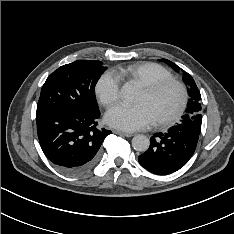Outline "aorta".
I'll use <instances>...</instances> for the list:
<instances>
[{
    "mask_svg": "<svg viewBox=\"0 0 234 234\" xmlns=\"http://www.w3.org/2000/svg\"><path fill=\"white\" fill-rule=\"evenodd\" d=\"M121 95L125 100L132 101L136 96V89L132 84L126 83L121 89ZM149 146L150 141L143 134L136 135L132 139V147L136 151L145 152Z\"/></svg>",
    "mask_w": 234,
    "mask_h": 234,
    "instance_id": "762f6f07",
    "label": "aorta"
}]
</instances>
